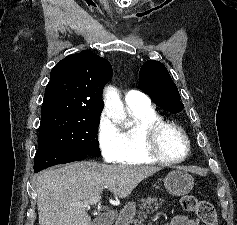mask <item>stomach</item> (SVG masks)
Segmentation results:
<instances>
[{
	"instance_id": "obj_1",
	"label": "stomach",
	"mask_w": 237,
	"mask_h": 225,
	"mask_svg": "<svg viewBox=\"0 0 237 225\" xmlns=\"http://www.w3.org/2000/svg\"><path fill=\"white\" fill-rule=\"evenodd\" d=\"M164 186L169 193L175 196H182L188 194L192 190L194 179L187 172L173 170L166 175ZM135 211V204L133 202H128L123 209V215L126 219L131 220L135 215Z\"/></svg>"
}]
</instances>
